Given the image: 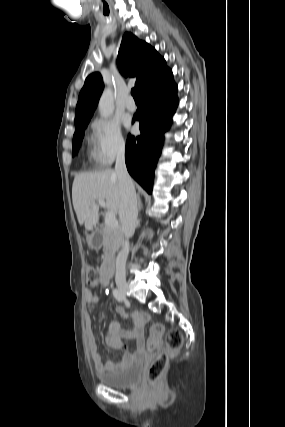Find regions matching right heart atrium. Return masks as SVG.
<instances>
[{
	"label": "right heart atrium",
	"mask_w": 285,
	"mask_h": 427,
	"mask_svg": "<svg viewBox=\"0 0 285 427\" xmlns=\"http://www.w3.org/2000/svg\"><path fill=\"white\" fill-rule=\"evenodd\" d=\"M90 142L95 159L103 165L111 164L127 147L118 122L107 118H97L91 123Z\"/></svg>",
	"instance_id": "1"
}]
</instances>
